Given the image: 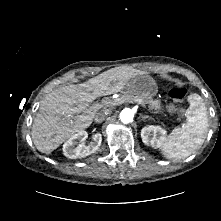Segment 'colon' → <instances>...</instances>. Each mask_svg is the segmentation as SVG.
<instances>
[{"mask_svg": "<svg viewBox=\"0 0 221 221\" xmlns=\"http://www.w3.org/2000/svg\"><path fill=\"white\" fill-rule=\"evenodd\" d=\"M187 90L183 87H173L169 90L168 96L177 102H181L185 99Z\"/></svg>", "mask_w": 221, "mask_h": 221, "instance_id": "1", "label": "colon"}]
</instances>
